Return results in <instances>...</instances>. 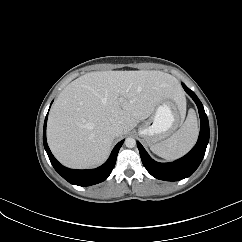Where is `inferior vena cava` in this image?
Here are the masks:
<instances>
[{"label":"inferior vena cava","mask_w":242,"mask_h":242,"mask_svg":"<svg viewBox=\"0 0 242 242\" xmlns=\"http://www.w3.org/2000/svg\"><path fill=\"white\" fill-rule=\"evenodd\" d=\"M110 133L114 137H118L122 134V128L119 125H112L110 128Z\"/></svg>","instance_id":"inferior-vena-cava-1"}]
</instances>
